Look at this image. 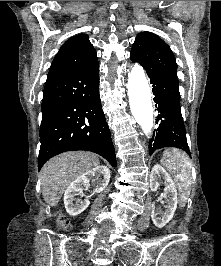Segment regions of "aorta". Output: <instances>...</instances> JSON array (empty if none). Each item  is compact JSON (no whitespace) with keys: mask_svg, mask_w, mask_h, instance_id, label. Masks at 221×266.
<instances>
[{"mask_svg":"<svg viewBox=\"0 0 221 266\" xmlns=\"http://www.w3.org/2000/svg\"><path fill=\"white\" fill-rule=\"evenodd\" d=\"M127 90L131 113L143 132L150 136L153 128L151 91L145 71L138 64L128 74Z\"/></svg>","mask_w":221,"mask_h":266,"instance_id":"aorta-1","label":"aorta"}]
</instances>
